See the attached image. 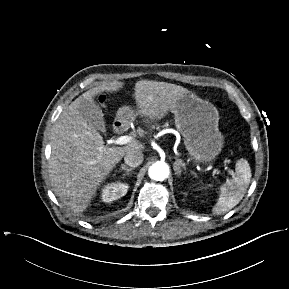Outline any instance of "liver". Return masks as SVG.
Listing matches in <instances>:
<instances>
[{
	"instance_id": "obj_1",
	"label": "liver",
	"mask_w": 289,
	"mask_h": 289,
	"mask_svg": "<svg viewBox=\"0 0 289 289\" xmlns=\"http://www.w3.org/2000/svg\"><path fill=\"white\" fill-rule=\"evenodd\" d=\"M119 81L104 82L76 98L59 116L52 129L49 178L54 193L76 211L85 210L117 163L131 151H142L137 140L120 147L104 145L103 137L84 118L82 108L94 105L102 92L123 88ZM189 91L179 85L138 81L135 84L137 113L150 123L172 110L179 97Z\"/></svg>"
}]
</instances>
